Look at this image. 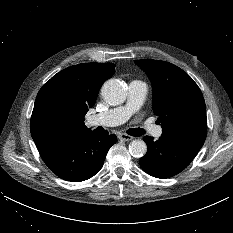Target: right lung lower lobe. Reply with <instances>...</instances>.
<instances>
[{"label": "right lung lower lobe", "instance_id": "98d812e1", "mask_svg": "<svg viewBox=\"0 0 233 233\" xmlns=\"http://www.w3.org/2000/svg\"><path fill=\"white\" fill-rule=\"evenodd\" d=\"M116 135H97L93 132L62 138L38 148L45 164L60 178L80 182L93 177L102 168Z\"/></svg>", "mask_w": 233, "mask_h": 233}]
</instances>
